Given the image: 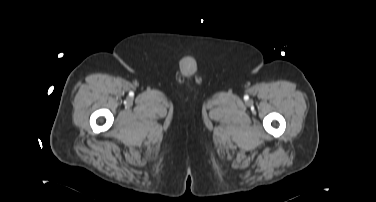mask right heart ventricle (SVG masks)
I'll return each mask as SVG.
<instances>
[{
  "label": "right heart ventricle",
  "mask_w": 376,
  "mask_h": 202,
  "mask_svg": "<svg viewBox=\"0 0 376 202\" xmlns=\"http://www.w3.org/2000/svg\"><path fill=\"white\" fill-rule=\"evenodd\" d=\"M53 91V88H50L49 92Z\"/></svg>",
  "instance_id": "1"
}]
</instances>
